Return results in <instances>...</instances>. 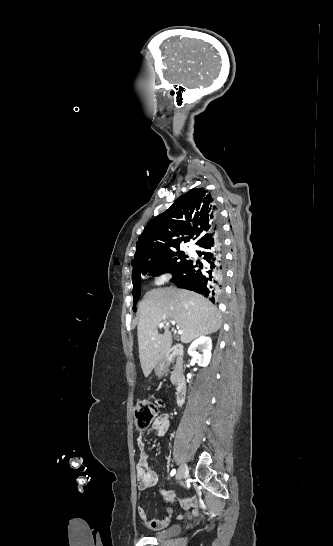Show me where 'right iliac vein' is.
Masks as SVG:
<instances>
[{"instance_id": "63e3f726", "label": "right iliac vein", "mask_w": 333, "mask_h": 546, "mask_svg": "<svg viewBox=\"0 0 333 546\" xmlns=\"http://www.w3.org/2000/svg\"><path fill=\"white\" fill-rule=\"evenodd\" d=\"M188 474V467L186 464H182L176 474V480L180 481Z\"/></svg>"}]
</instances>
